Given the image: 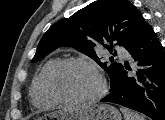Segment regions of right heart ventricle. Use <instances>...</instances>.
<instances>
[{
  "label": "right heart ventricle",
  "instance_id": "obj_1",
  "mask_svg": "<svg viewBox=\"0 0 165 120\" xmlns=\"http://www.w3.org/2000/svg\"><path fill=\"white\" fill-rule=\"evenodd\" d=\"M56 62L55 59L48 60L33 81L31 87V99L33 104L39 108H51L57 104V102L50 97L45 88L46 75Z\"/></svg>",
  "mask_w": 165,
  "mask_h": 120
}]
</instances>
